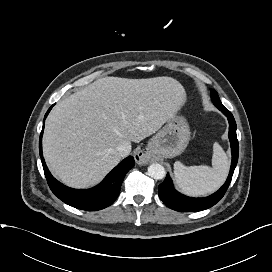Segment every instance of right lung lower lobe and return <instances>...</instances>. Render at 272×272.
I'll use <instances>...</instances> for the list:
<instances>
[{"mask_svg":"<svg viewBox=\"0 0 272 272\" xmlns=\"http://www.w3.org/2000/svg\"><path fill=\"white\" fill-rule=\"evenodd\" d=\"M51 108L52 106L44 118L47 117ZM42 135L43 129L39 139V153L44 173L50 189L60 200L72 207L87 211L101 210L110 206L116 200L126 173L134 167L133 157L129 156L121 161L105 179L94 188L87 190L72 189L58 182L49 172L42 154Z\"/></svg>","mask_w":272,"mask_h":272,"instance_id":"right-lung-lower-lobe-1","label":"right lung lower lobe"}]
</instances>
